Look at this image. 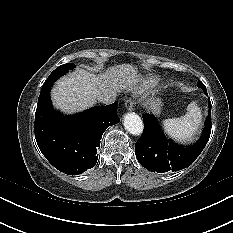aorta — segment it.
<instances>
[{"mask_svg":"<svg viewBox=\"0 0 233 233\" xmlns=\"http://www.w3.org/2000/svg\"><path fill=\"white\" fill-rule=\"evenodd\" d=\"M124 127L132 135H140L143 132V121L136 113H127L124 116Z\"/></svg>","mask_w":233,"mask_h":233,"instance_id":"1","label":"aorta"}]
</instances>
